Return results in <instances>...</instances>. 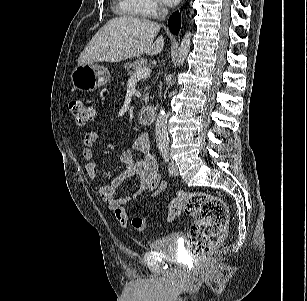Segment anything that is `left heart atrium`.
Segmentation results:
<instances>
[{"label": "left heart atrium", "mask_w": 307, "mask_h": 301, "mask_svg": "<svg viewBox=\"0 0 307 301\" xmlns=\"http://www.w3.org/2000/svg\"><path fill=\"white\" fill-rule=\"evenodd\" d=\"M165 5L167 6H174L176 5L180 0H161Z\"/></svg>", "instance_id": "39dd6f15"}]
</instances>
